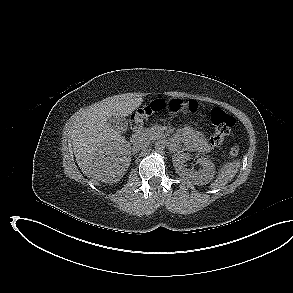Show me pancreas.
<instances>
[{
	"label": "pancreas",
	"mask_w": 293,
	"mask_h": 293,
	"mask_svg": "<svg viewBox=\"0 0 293 293\" xmlns=\"http://www.w3.org/2000/svg\"><path fill=\"white\" fill-rule=\"evenodd\" d=\"M143 137L148 140H156L159 138H164V131L160 125H154L151 128H146L142 132Z\"/></svg>",
	"instance_id": "obj_1"
}]
</instances>
